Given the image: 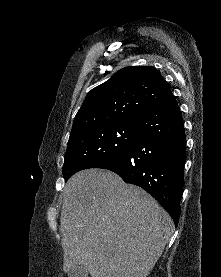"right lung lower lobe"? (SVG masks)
<instances>
[{
	"label": "right lung lower lobe",
	"instance_id": "98d812e1",
	"mask_svg": "<svg viewBox=\"0 0 221 277\" xmlns=\"http://www.w3.org/2000/svg\"><path fill=\"white\" fill-rule=\"evenodd\" d=\"M136 123L137 134L128 150L98 168L111 170L126 183L146 190L177 226L184 185L186 137L175 98L142 115Z\"/></svg>",
	"mask_w": 221,
	"mask_h": 277
}]
</instances>
